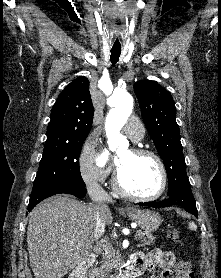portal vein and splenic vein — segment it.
I'll return each mask as SVG.
<instances>
[{
    "label": "portal vein and splenic vein",
    "mask_w": 221,
    "mask_h": 278,
    "mask_svg": "<svg viewBox=\"0 0 221 278\" xmlns=\"http://www.w3.org/2000/svg\"><path fill=\"white\" fill-rule=\"evenodd\" d=\"M134 238L136 239V236H134ZM103 247L106 249V248H107V245H103Z\"/></svg>",
    "instance_id": "1"
}]
</instances>
